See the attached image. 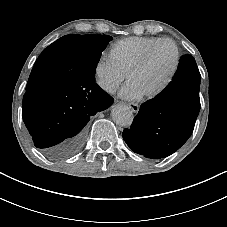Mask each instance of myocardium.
<instances>
[{"label": "myocardium", "instance_id": "obj_1", "mask_svg": "<svg viewBox=\"0 0 227 227\" xmlns=\"http://www.w3.org/2000/svg\"><path fill=\"white\" fill-rule=\"evenodd\" d=\"M169 43L173 49H174V60H173V64L171 66V69L166 77V79L164 80V82L158 87L156 88L154 91H152L151 93L145 95V97L147 99H154L156 97H158L159 95H161L171 84L177 70L180 64V49L179 46L177 45V43L170 39V38H161L158 39L157 41H155L154 43H152L150 46H148L146 48V50L144 51V53L142 54V56L136 61V63L132 66V68L130 69V71L128 72L127 75V81H129V79L138 71H140L147 63L149 56L152 52V50L160 43Z\"/></svg>", "mask_w": 227, "mask_h": 227}]
</instances>
